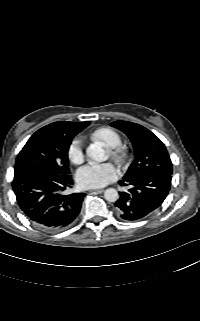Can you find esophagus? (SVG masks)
<instances>
[{
    "instance_id": "34e87169",
    "label": "esophagus",
    "mask_w": 200,
    "mask_h": 321,
    "mask_svg": "<svg viewBox=\"0 0 200 321\" xmlns=\"http://www.w3.org/2000/svg\"><path fill=\"white\" fill-rule=\"evenodd\" d=\"M91 192L92 193H102V192H104V190L103 189H95V190H92Z\"/></svg>"
}]
</instances>
